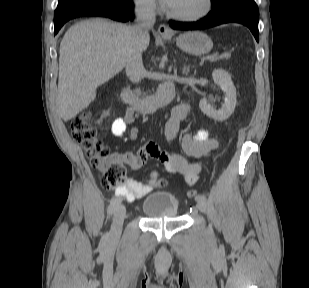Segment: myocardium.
Returning <instances> with one entry per match:
<instances>
[{
	"instance_id": "myocardium-1",
	"label": "myocardium",
	"mask_w": 309,
	"mask_h": 288,
	"mask_svg": "<svg viewBox=\"0 0 309 288\" xmlns=\"http://www.w3.org/2000/svg\"><path fill=\"white\" fill-rule=\"evenodd\" d=\"M212 8H213V0H205L204 9L197 14H193V15L180 14V13L173 12L170 9L167 10V14L170 17L177 19V20L193 22V21L201 20L205 18L206 16H208Z\"/></svg>"
}]
</instances>
